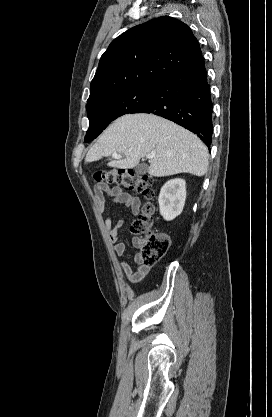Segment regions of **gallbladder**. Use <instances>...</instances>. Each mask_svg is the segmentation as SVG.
Here are the masks:
<instances>
[{
	"label": "gallbladder",
	"instance_id": "1",
	"mask_svg": "<svg viewBox=\"0 0 272 417\" xmlns=\"http://www.w3.org/2000/svg\"><path fill=\"white\" fill-rule=\"evenodd\" d=\"M135 172L138 175L146 174L148 172V166L146 164H139L136 166Z\"/></svg>",
	"mask_w": 272,
	"mask_h": 417
}]
</instances>
